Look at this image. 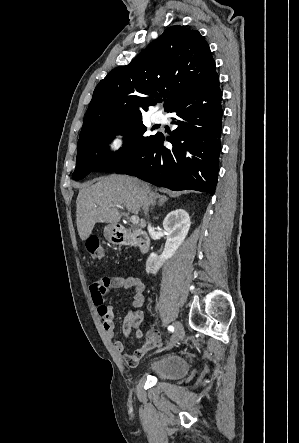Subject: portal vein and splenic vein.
I'll return each mask as SVG.
<instances>
[{"mask_svg": "<svg viewBox=\"0 0 299 443\" xmlns=\"http://www.w3.org/2000/svg\"><path fill=\"white\" fill-rule=\"evenodd\" d=\"M130 221L132 222V224L136 225L139 223V218L138 216L133 215L130 217Z\"/></svg>", "mask_w": 299, "mask_h": 443, "instance_id": "obj_1", "label": "portal vein and splenic vein"}]
</instances>
